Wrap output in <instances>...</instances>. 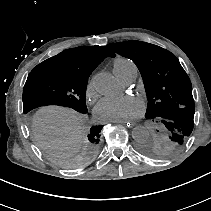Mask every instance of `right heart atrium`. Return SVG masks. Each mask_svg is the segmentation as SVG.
I'll return each mask as SVG.
<instances>
[{
	"label": "right heart atrium",
	"instance_id": "right-heart-atrium-1",
	"mask_svg": "<svg viewBox=\"0 0 211 211\" xmlns=\"http://www.w3.org/2000/svg\"><path fill=\"white\" fill-rule=\"evenodd\" d=\"M97 91L94 83V79H90L85 87V96L87 100H92L96 97Z\"/></svg>",
	"mask_w": 211,
	"mask_h": 211
}]
</instances>
